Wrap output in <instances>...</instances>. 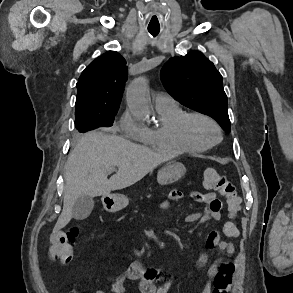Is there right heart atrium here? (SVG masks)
Returning a JSON list of instances; mask_svg holds the SVG:
<instances>
[{
  "instance_id": "d8ad5b80",
  "label": "right heart atrium",
  "mask_w": 293,
  "mask_h": 293,
  "mask_svg": "<svg viewBox=\"0 0 293 293\" xmlns=\"http://www.w3.org/2000/svg\"><path fill=\"white\" fill-rule=\"evenodd\" d=\"M118 127L123 133L134 139L143 140L145 138V127L139 123L130 109H126L122 113Z\"/></svg>"
}]
</instances>
